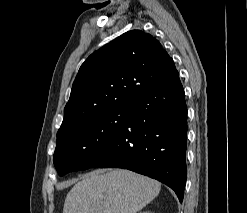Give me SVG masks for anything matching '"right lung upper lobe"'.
<instances>
[{
    "instance_id": "cb5924a9",
    "label": "right lung upper lobe",
    "mask_w": 247,
    "mask_h": 213,
    "mask_svg": "<svg viewBox=\"0 0 247 213\" xmlns=\"http://www.w3.org/2000/svg\"><path fill=\"white\" fill-rule=\"evenodd\" d=\"M176 72L173 59L152 35L141 30L122 34L80 67L57 136Z\"/></svg>"
}]
</instances>
